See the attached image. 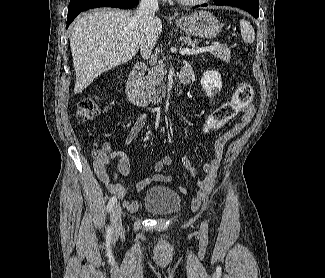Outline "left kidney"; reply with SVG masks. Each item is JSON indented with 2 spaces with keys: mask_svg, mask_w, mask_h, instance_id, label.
Listing matches in <instances>:
<instances>
[{
  "mask_svg": "<svg viewBox=\"0 0 325 278\" xmlns=\"http://www.w3.org/2000/svg\"><path fill=\"white\" fill-rule=\"evenodd\" d=\"M200 83L208 97H214L222 88V79L218 71L205 72Z\"/></svg>",
  "mask_w": 325,
  "mask_h": 278,
  "instance_id": "1",
  "label": "left kidney"
}]
</instances>
